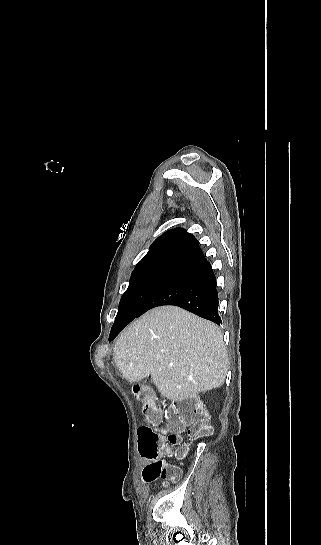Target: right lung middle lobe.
I'll use <instances>...</instances> for the list:
<instances>
[{"mask_svg":"<svg viewBox=\"0 0 321 545\" xmlns=\"http://www.w3.org/2000/svg\"><path fill=\"white\" fill-rule=\"evenodd\" d=\"M174 270L175 268L164 266L134 270L129 286L120 300L115 323L135 316Z\"/></svg>","mask_w":321,"mask_h":545,"instance_id":"dd1d6c3e","label":"right lung middle lobe"}]
</instances>
